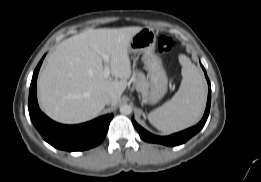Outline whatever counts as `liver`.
I'll list each match as a JSON object with an SVG mask.
<instances>
[{
    "label": "liver",
    "mask_w": 261,
    "mask_h": 182,
    "mask_svg": "<svg viewBox=\"0 0 261 182\" xmlns=\"http://www.w3.org/2000/svg\"><path fill=\"white\" fill-rule=\"evenodd\" d=\"M141 29H89L62 41L38 78L42 110L58 122L76 124L96 117L105 107V95L116 105L131 76L129 44ZM103 53L109 55L115 80L104 77Z\"/></svg>",
    "instance_id": "6515ba94"
}]
</instances>
